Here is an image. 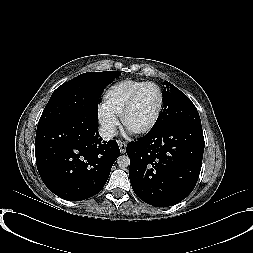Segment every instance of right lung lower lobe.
<instances>
[{
	"instance_id": "right-lung-lower-lobe-1",
	"label": "right lung lower lobe",
	"mask_w": 253,
	"mask_h": 253,
	"mask_svg": "<svg viewBox=\"0 0 253 253\" xmlns=\"http://www.w3.org/2000/svg\"><path fill=\"white\" fill-rule=\"evenodd\" d=\"M98 119L73 115L37 126L35 156L40 177L57 196L80 201L101 191L120 155L115 140L103 141Z\"/></svg>"
}]
</instances>
